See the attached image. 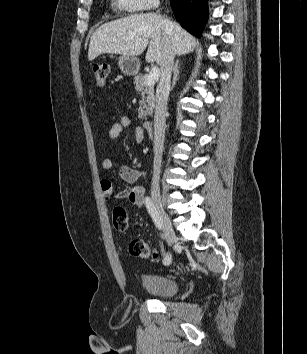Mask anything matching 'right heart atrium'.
<instances>
[{"mask_svg":"<svg viewBox=\"0 0 307 354\" xmlns=\"http://www.w3.org/2000/svg\"><path fill=\"white\" fill-rule=\"evenodd\" d=\"M117 6L128 12L151 10L158 6L159 0H116Z\"/></svg>","mask_w":307,"mask_h":354,"instance_id":"1","label":"right heart atrium"}]
</instances>
